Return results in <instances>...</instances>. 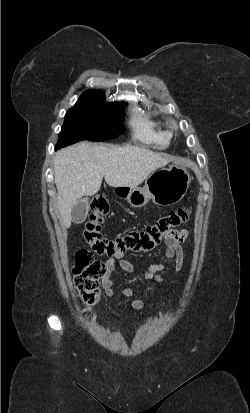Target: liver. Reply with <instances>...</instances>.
<instances>
[{
    "mask_svg": "<svg viewBox=\"0 0 250 413\" xmlns=\"http://www.w3.org/2000/svg\"><path fill=\"white\" fill-rule=\"evenodd\" d=\"M177 160L138 146L82 142L54 156V182L61 224L71 226V211L84 196L96 194L103 180L111 187L138 186L155 170Z\"/></svg>",
    "mask_w": 250,
    "mask_h": 413,
    "instance_id": "1",
    "label": "liver"
}]
</instances>
